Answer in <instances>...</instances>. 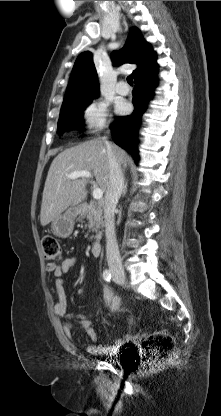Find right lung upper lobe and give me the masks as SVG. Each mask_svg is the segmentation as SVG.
Masks as SVG:
<instances>
[{
  "mask_svg": "<svg viewBox=\"0 0 221 416\" xmlns=\"http://www.w3.org/2000/svg\"><path fill=\"white\" fill-rule=\"evenodd\" d=\"M111 57L116 65L137 64L138 67L133 71L135 79L157 69L156 54L137 27L131 28L124 48L113 51ZM98 90L92 54L89 51L82 52L75 61L63 102L92 97Z\"/></svg>",
  "mask_w": 221,
  "mask_h": 416,
  "instance_id": "cb5924a9",
  "label": "right lung upper lobe"
}]
</instances>
